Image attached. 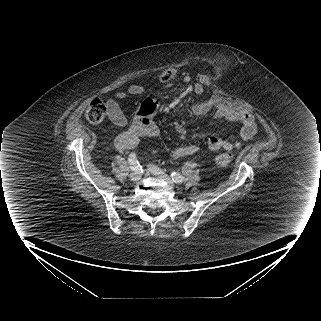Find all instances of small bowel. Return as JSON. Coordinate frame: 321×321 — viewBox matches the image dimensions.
Listing matches in <instances>:
<instances>
[{
  "mask_svg": "<svg viewBox=\"0 0 321 321\" xmlns=\"http://www.w3.org/2000/svg\"><path fill=\"white\" fill-rule=\"evenodd\" d=\"M185 81H189L186 76ZM203 86L197 83L194 86L196 93H201ZM142 88L138 85H133L129 89L131 95H139ZM125 96L124 93H119L107 100L108 113L111 121L118 127L124 130L116 137V147L123 151H128L136 148L139 144V139L142 136L157 138L159 136V129L153 121V116L156 114L158 106L153 100L144 101L139 109L140 117L134 121L128 122L119 105V99ZM217 102L213 98H207L202 102L196 103L192 106V113L196 116H202L215 108ZM217 119L226 120L232 123L241 125V129L237 136L220 137L211 136L207 141V146L211 151L219 149L236 150L241 147L243 141H248L254 137L257 132V124L251 113L232 107H217L214 113ZM166 121V118H164ZM176 131L179 134L185 133V128L178 124ZM198 148L195 145H185L173 149L169 156L174 159H179L193 155Z\"/></svg>",
  "mask_w": 321,
  "mask_h": 321,
  "instance_id": "obj_1",
  "label": "small bowel"
}]
</instances>
